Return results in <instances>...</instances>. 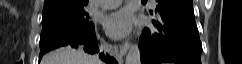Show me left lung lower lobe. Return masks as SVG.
Instances as JSON below:
<instances>
[{"label": "left lung lower lobe", "instance_id": "0a47b994", "mask_svg": "<svg viewBox=\"0 0 242 64\" xmlns=\"http://www.w3.org/2000/svg\"><path fill=\"white\" fill-rule=\"evenodd\" d=\"M157 2L158 19L140 37L141 64H201L202 44L192 0Z\"/></svg>", "mask_w": 242, "mask_h": 64}]
</instances>
